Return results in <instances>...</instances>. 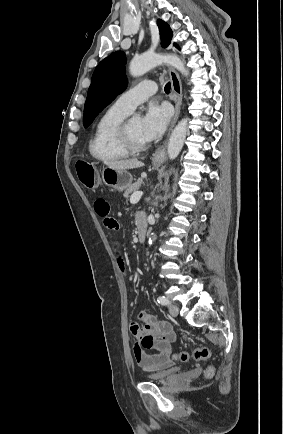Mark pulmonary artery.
Returning <instances> with one entry per match:
<instances>
[{
	"label": "pulmonary artery",
	"mask_w": 283,
	"mask_h": 434,
	"mask_svg": "<svg viewBox=\"0 0 283 434\" xmlns=\"http://www.w3.org/2000/svg\"><path fill=\"white\" fill-rule=\"evenodd\" d=\"M157 90L155 82L145 80L121 94L114 105L126 111H133L136 106L145 102Z\"/></svg>",
	"instance_id": "pulmonary-artery-1"
}]
</instances>
